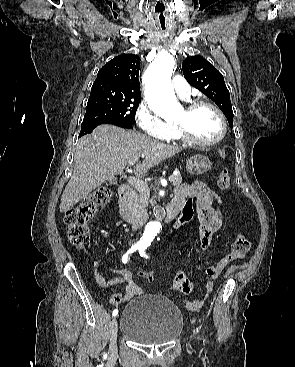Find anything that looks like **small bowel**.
<instances>
[{"instance_id":"1","label":"small bowel","mask_w":295,"mask_h":367,"mask_svg":"<svg viewBox=\"0 0 295 367\" xmlns=\"http://www.w3.org/2000/svg\"><path fill=\"white\" fill-rule=\"evenodd\" d=\"M193 195L195 197L196 214L199 220V242L198 250L204 253L212 242L213 235L221 228L223 216L220 208L216 205L214 200L215 193L204 183L194 181L191 183H184L175 188L174 200H178L184 206L186 196ZM102 266V260L98 259L94 263V275L97 283L102 287H109L125 283L123 292L115 293L109 297V302L118 306L121 305L134 296L143 294V290L135 284L132 279V273L128 269L121 270V276L115 279H105L101 276L99 270ZM217 265L209 266L205 269L207 280L205 283L206 293L198 296L195 299L185 301V307L191 312H196L201 309L205 301L208 299L210 293L213 291L214 282L222 272ZM174 287L182 293H189L192 290V282L187 277V274L180 270L176 273L174 278Z\"/></svg>"}]
</instances>
